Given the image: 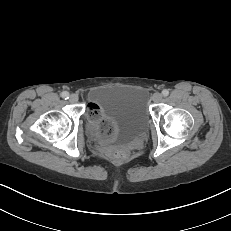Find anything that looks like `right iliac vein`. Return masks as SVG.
<instances>
[{"label": "right iliac vein", "mask_w": 231, "mask_h": 231, "mask_svg": "<svg viewBox=\"0 0 231 231\" xmlns=\"http://www.w3.org/2000/svg\"><path fill=\"white\" fill-rule=\"evenodd\" d=\"M69 101H70L71 103H76V102L78 101V96H77L76 94H71V95L69 96Z\"/></svg>", "instance_id": "obj_1"}]
</instances>
